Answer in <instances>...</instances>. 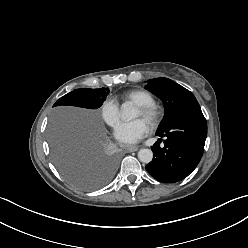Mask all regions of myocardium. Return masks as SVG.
<instances>
[{"mask_svg":"<svg viewBox=\"0 0 248 248\" xmlns=\"http://www.w3.org/2000/svg\"><path fill=\"white\" fill-rule=\"evenodd\" d=\"M137 109L140 111L141 115L150 126L157 125L161 119L160 107L154 102L137 105Z\"/></svg>","mask_w":248,"mask_h":248,"instance_id":"obj_1","label":"myocardium"}]
</instances>
